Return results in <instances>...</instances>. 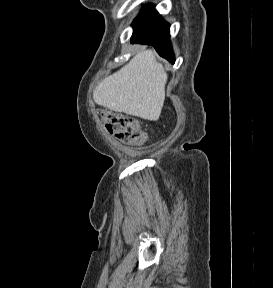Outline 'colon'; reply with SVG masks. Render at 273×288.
I'll return each instance as SVG.
<instances>
[{
  "instance_id": "colon-1",
  "label": "colon",
  "mask_w": 273,
  "mask_h": 288,
  "mask_svg": "<svg viewBox=\"0 0 273 288\" xmlns=\"http://www.w3.org/2000/svg\"><path fill=\"white\" fill-rule=\"evenodd\" d=\"M98 113L107 131L119 142L140 145L146 140L145 132L133 117L106 109L99 110Z\"/></svg>"
}]
</instances>
